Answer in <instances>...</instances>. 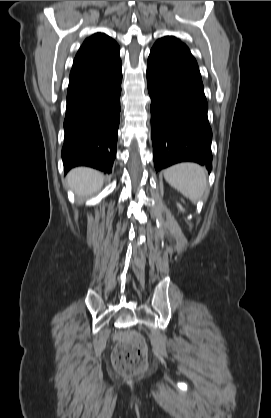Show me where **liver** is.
I'll return each instance as SVG.
<instances>
[{"mask_svg": "<svg viewBox=\"0 0 271 418\" xmlns=\"http://www.w3.org/2000/svg\"><path fill=\"white\" fill-rule=\"evenodd\" d=\"M67 182L77 196H89L101 189L104 176L92 168L77 167L68 173Z\"/></svg>", "mask_w": 271, "mask_h": 418, "instance_id": "liver-1", "label": "liver"}]
</instances>
